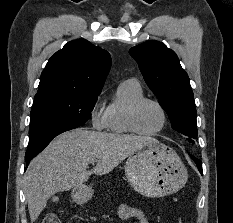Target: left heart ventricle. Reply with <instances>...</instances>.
I'll return each mask as SVG.
<instances>
[{
    "instance_id": "b2bd125f",
    "label": "left heart ventricle",
    "mask_w": 233,
    "mask_h": 223,
    "mask_svg": "<svg viewBox=\"0 0 233 223\" xmlns=\"http://www.w3.org/2000/svg\"><path fill=\"white\" fill-rule=\"evenodd\" d=\"M139 125L147 133L159 131L164 125V116L158 106L146 103L139 114Z\"/></svg>"
}]
</instances>
